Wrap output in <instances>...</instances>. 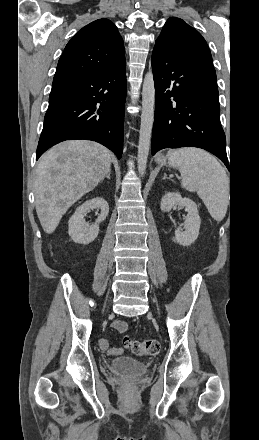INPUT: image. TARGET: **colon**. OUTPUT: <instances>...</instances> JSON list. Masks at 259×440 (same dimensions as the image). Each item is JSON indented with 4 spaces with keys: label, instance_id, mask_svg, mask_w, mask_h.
Listing matches in <instances>:
<instances>
[{
    "label": "colon",
    "instance_id": "5ec220e1",
    "mask_svg": "<svg viewBox=\"0 0 259 440\" xmlns=\"http://www.w3.org/2000/svg\"><path fill=\"white\" fill-rule=\"evenodd\" d=\"M125 346L129 348L137 356H153L160 350V344L155 339H147L144 341H134L129 338L124 339ZM129 389V385L124 386Z\"/></svg>",
    "mask_w": 259,
    "mask_h": 440
}]
</instances>
